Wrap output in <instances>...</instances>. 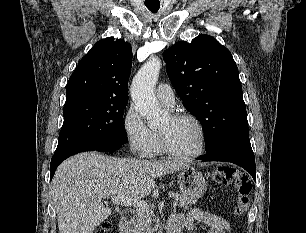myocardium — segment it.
Instances as JSON below:
<instances>
[{
  "mask_svg": "<svg viewBox=\"0 0 306 233\" xmlns=\"http://www.w3.org/2000/svg\"><path fill=\"white\" fill-rule=\"evenodd\" d=\"M171 117L174 120L188 119V120H191L196 125L199 131V134H200L199 148L196 151L190 152V153H182V152L176 151L170 146L166 135L160 132L159 135H160L162 150L170 156H174L177 158H183V159L196 158L202 155L206 147V132H205V128L202 122L200 121V119L196 117L195 115L188 113V112H177L173 114Z\"/></svg>",
  "mask_w": 306,
  "mask_h": 233,
  "instance_id": "obj_1",
  "label": "myocardium"
}]
</instances>
